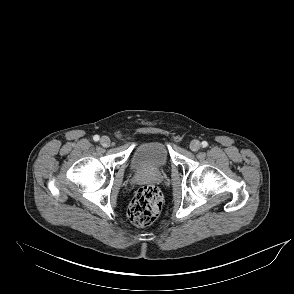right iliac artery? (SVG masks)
Listing matches in <instances>:
<instances>
[{"instance_id":"obj_1","label":"right iliac artery","mask_w":294,"mask_h":294,"mask_svg":"<svg viewBox=\"0 0 294 294\" xmlns=\"http://www.w3.org/2000/svg\"><path fill=\"white\" fill-rule=\"evenodd\" d=\"M93 140L94 141H98L99 140V136L98 135H94Z\"/></svg>"}]
</instances>
